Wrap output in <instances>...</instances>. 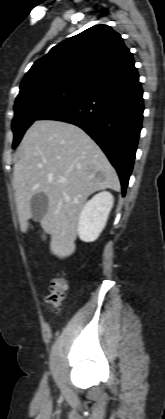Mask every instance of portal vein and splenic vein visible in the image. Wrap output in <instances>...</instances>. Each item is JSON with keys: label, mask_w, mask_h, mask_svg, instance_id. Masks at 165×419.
Instances as JSON below:
<instances>
[{"label": "portal vein and splenic vein", "mask_w": 165, "mask_h": 419, "mask_svg": "<svg viewBox=\"0 0 165 419\" xmlns=\"http://www.w3.org/2000/svg\"><path fill=\"white\" fill-rule=\"evenodd\" d=\"M60 181L63 183V182H65V179H61Z\"/></svg>", "instance_id": "18ae733b"}]
</instances>
